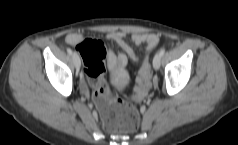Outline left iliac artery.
Segmentation results:
<instances>
[{
	"mask_svg": "<svg viewBox=\"0 0 238 145\" xmlns=\"http://www.w3.org/2000/svg\"><path fill=\"white\" fill-rule=\"evenodd\" d=\"M165 53V48H161L160 51H159V55L160 57H162Z\"/></svg>",
	"mask_w": 238,
	"mask_h": 145,
	"instance_id": "1",
	"label": "left iliac artery"
}]
</instances>
